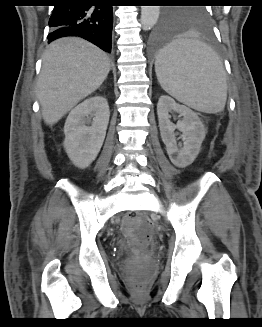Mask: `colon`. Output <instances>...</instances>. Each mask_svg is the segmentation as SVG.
I'll use <instances>...</instances> for the list:
<instances>
[{"label": "colon", "instance_id": "obj_1", "mask_svg": "<svg viewBox=\"0 0 262 327\" xmlns=\"http://www.w3.org/2000/svg\"><path fill=\"white\" fill-rule=\"evenodd\" d=\"M124 229L131 242L135 245L147 244L153 234L151 222L148 218L142 215L131 214L124 224ZM134 287L135 289L140 290L142 285L136 281Z\"/></svg>", "mask_w": 262, "mask_h": 327}]
</instances>
